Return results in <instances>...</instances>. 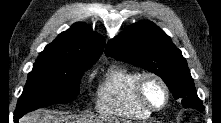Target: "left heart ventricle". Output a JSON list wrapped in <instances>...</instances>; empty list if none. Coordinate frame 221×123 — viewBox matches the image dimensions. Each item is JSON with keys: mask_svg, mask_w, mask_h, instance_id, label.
<instances>
[{"mask_svg": "<svg viewBox=\"0 0 221 123\" xmlns=\"http://www.w3.org/2000/svg\"><path fill=\"white\" fill-rule=\"evenodd\" d=\"M145 95L148 101L154 106H161L165 99L162 87L153 80H149L145 84Z\"/></svg>", "mask_w": 221, "mask_h": 123, "instance_id": "b2bd125f", "label": "left heart ventricle"}]
</instances>
